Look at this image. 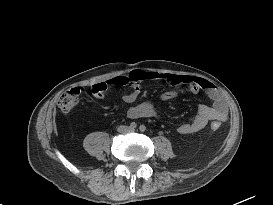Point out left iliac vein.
Returning <instances> with one entry per match:
<instances>
[{"label": "left iliac vein", "instance_id": "left-iliac-vein-1", "mask_svg": "<svg viewBox=\"0 0 273 205\" xmlns=\"http://www.w3.org/2000/svg\"><path fill=\"white\" fill-rule=\"evenodd\" d=\"M130 131H131V132H133V131H134V129H132V128H131V129H130Z\"/></svg>", "mask_w": 273, "mask_h": 205}]
</instances>
